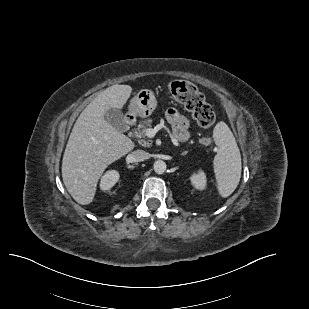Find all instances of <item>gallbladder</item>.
I'll return each instance as SVG.
<instances>
[{"mask_svg":"<svg viewBox=\"0 0 309 309\" xmlns=\"http://www.w3.org/2000/svg\"><path fill=\"white\" fill-rule=\"evenodd\" d=\"M105 120L120 132H125L128 125L118 109H110L105 113Z\"/></svg>","mask_w":309,"mask_h":309,"instance_id":"1","label":"gallbladder"}]
</instances>
